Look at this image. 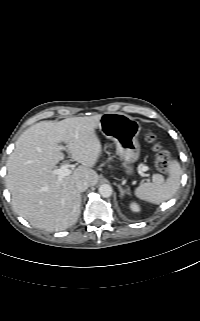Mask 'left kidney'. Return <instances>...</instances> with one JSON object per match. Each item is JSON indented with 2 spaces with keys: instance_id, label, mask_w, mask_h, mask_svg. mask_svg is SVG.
I'll list each match as a JSON object with an SVG mask.
<instances>
[{
  "instance_id": "obj_1",
  "label": "left kidney",
  "mask_w": 200,
  "mask_h": 321,
  "mask_svg": "<svg viewBox=\"0 0 200 321\" xmlns=\"http://www.w3.org/2000/svg\"><path fill=\"white\" fill-rule=\"evenodd\" d=\"M130 209H131L133 212H139V211H140V207H139V205H137L136 203H131V204H130Z\"/></svg>"
}]
</instances>
